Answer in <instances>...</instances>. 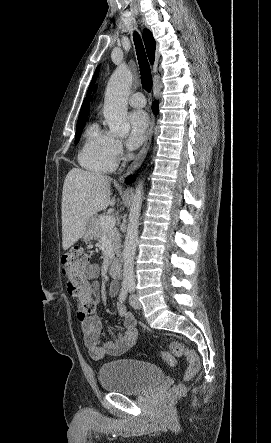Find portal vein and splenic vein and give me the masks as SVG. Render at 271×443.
<instances>
[{
    "label": "portal vein and splenic vein",
    "instance_id": "1",
    "mask_svg": "<svg viewBox=\"0 0 271 443\" xmlns=\"http://www.w3.org/2000/svg\"><path fill=\"white\" fill-rule=\"evenodd\" d=\"M116 223L115 218L113 216H104V218H101V225L102 227H105V229H109V227H114Z\"/></svg>",
    "mask_w": 271,
    "mask_h": 443
}]
</instances>
